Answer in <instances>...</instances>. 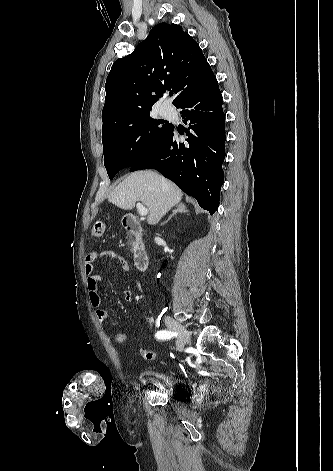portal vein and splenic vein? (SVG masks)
I'll list each match as a JSON object with an SVG mask.
<instances>
[{"mask_svg": "<svg viewBox=\"0 0 333 471\" xmlns=\"http://www.w3.org/2000/svg\"><path fill=\"white\" fill-rule=\"evenodd\" d=\"M137 209H138V213L141 216H146L148 214V209L145 206H143L141 203H137Z\"/></svg>", "mask_w": 333, "mask_h": 471, "instance_id": "portal-vein-and-splenic-vein-1", "label": "portal vein and splenic vein"}]
</instances>
